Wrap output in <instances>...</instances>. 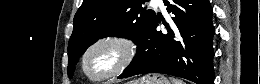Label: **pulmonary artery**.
Listing matches in <instances>:
<instances>
[{
  "label": "pulmonary artery",
  "mask_w": 260,
  "mask_h": 84,
  "mask_svg": "<svg viewBox=\"0 0 260 84\" xmlns=\"http://www.w3.org/2000/svg\"><path fill=\"white\" fill-rule=\"evenodd\" d=\"M151 3L153 4V5H158V6H162V0H152L151 1Z\"/></svg>",
  "instance_id": "e3ab8cb5"
}]
</instances>
